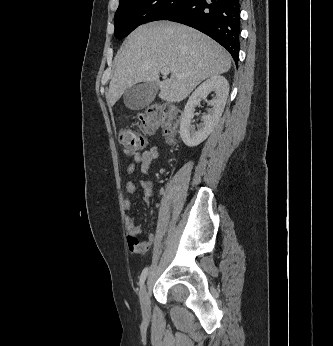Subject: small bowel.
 Instances as JSON below:
<instances>
[{
	"instance_id": "small-bowel-1",
	"label": "small bowel",
	"mask_w": 333,
	"mask_h": 346,
	"mask_svg": "<svg viewBox=\"0 0 333 346\" xmlns=\"http://www.w3.org/2000/svg\"><path fill=\"white\" fill-rule=\"evenodd\" d=\"M159 158V150L156 146H152L142 153H138L134 156L133 162L129 163L126 168V172L129 175H132L136 172L138 168L141 169L142 173L148 174L154 166V163ZM142 186L145 191V196L143 198L145 203H150L151 196L154 191V186L151 182L143 181ZM126 192L129 195H134L137 191V188L133 182L126 183ZM124 206L126 209H131L133 203L130 199L124 201ZM126 230L128 234V239L126 241L129 250L132 251V254H151V246L154 242V234H149L148 237L144 239H137V236L140 234L141 229L139 224L136 222L133 216H128L126 219ZM136 238V239H135Z\"/></svg>"
}]
</instances>
